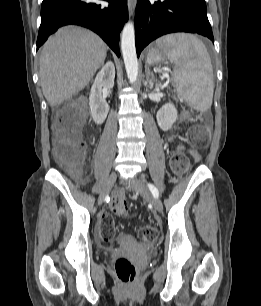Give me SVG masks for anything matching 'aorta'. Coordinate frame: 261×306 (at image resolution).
Segmentation results:
<instances>
[{"label": "aorta", "instance_id": "obj_1", "mask_svg": "<svg viewBox=\"0 0 261 306\" xmlns=\"http://www.w3.org/2000/svg\"><path fill=\"white\" fill-rule=\"evenodd\" d=\"M121 51L130 83H135L138 77V61L135 48L134 24L127 22L121 34Z\"/></svg>", "mask_w": 261, "mask_h": 306}]
</instances>
